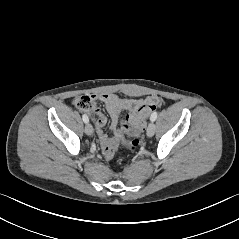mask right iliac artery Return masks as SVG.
<instances>
[{
    "label": "right iliac artery",
    "mask_w": 239,
    "mask_h": 239,
    "mask_svg": "<svg viewBox=\"0 0 239 239\" xmlns=\"http://www.w3.org/2000/svg\"><path fill=\"white\" fill-rule=\"evenodd\" d=\"M82 119H83L84 123H88L89 122V118H88V116L86 114H84L82 116Z\"/></svg>",
    "instance_id": "right-iliac-artery-1"
}]
</instances>
